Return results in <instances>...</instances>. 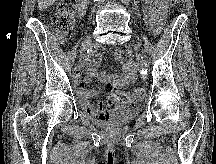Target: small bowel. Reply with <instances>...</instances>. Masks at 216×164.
<instances>
[{"mask_svg":"<svg viewBox=\"0 0 216 164\" xmlns=\"http://www.w3.org/2000/svg\"><path fill=\"white\" fill-rule=\"evenodd\" d=\"M146 18L150 24L158 29L159 23L163 17L166 4L168 0H146ZM116 56L119 61L122 62V69L124 74L122 76H117L112 73H102L100 75L96 74L95 68L100 60V54L91 55L85 62V71L93 77L104 81L109 89V102L106 106L102 103L94 104L91 100L97 96V92L93 89H87L86 85L89 83L90 79L84 77L79 69L74 72V81L76 85L77 94L80 98V102L87 113L98 120H107L111 118L116 109L118 108V103L114 99L113 95L119 89L131 84L136 75V67L133 62H123L121 53L118 51Z\"/></svg>","mask_w":216,"mask_h":164,"instance_id":"obj_1","label":"small bowel"}]
</instances>
